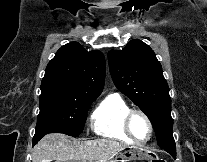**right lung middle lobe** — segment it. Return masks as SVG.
<instances>
[{"label": "right lung middle lobe", "instance_id": "1", "mask_svg": "<svg viewBox=\"0 0 207 162\" xmlns=\"http://www.w3.org/2000/svg\"><path fill=\"white\" fill-rule=\"evenodd\" d=\"M97 97L41 90L40 113L34 137L53 132L78 137L84 128L87 111Z\"/></svg>", "mask_w": 207, "mask_h": 162}]
</instances>
